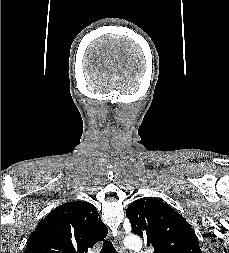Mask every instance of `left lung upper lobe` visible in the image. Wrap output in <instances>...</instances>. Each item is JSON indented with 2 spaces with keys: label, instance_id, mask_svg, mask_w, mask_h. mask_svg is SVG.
<instances>
[{
  "label": "left lung upper lobe",
  "instance_id": "1",
  "mask_svg": "<svg viewBox=\"0 0 229 253\" xmlns=\"http://www.w3.org/2000/svg\"><path fill=\"white\" fill-rule=\"evenodd\" d=\"M132 231L154 248V253H202L189 223L161 200L140 199L126 210Z\"/></svg>",
  "mask_w": 229,
  "mask_h": 253
}]
</instances>
